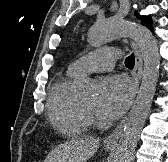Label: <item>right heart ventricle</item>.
Here are the masks:
<instances>
[{
  "mask_svg": "<svg viewBox=\"0 0 168 162\" xmlns=\"http://www.w3.org/2000/svg\"><path fill=\"white\" fill-rule=\"evenodd\" d=\"M77 74L70 69L56 77L49 93L47 112L53 127L63 135L76 137L87 133L88 115L75 95Z\"/></svg>",
  "mask_w": 168,
  "mask_h": 162,
  "instance_id": "1",
  "label": "right heart ventricle"
}]
</instances>
